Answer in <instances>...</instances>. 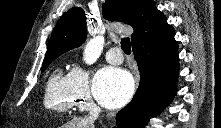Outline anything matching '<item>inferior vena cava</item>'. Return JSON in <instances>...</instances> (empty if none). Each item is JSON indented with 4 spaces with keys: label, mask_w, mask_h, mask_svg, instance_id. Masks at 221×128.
I'll return each instance as SVG.
<instances>
[{
    "label": "inferior vena cava",
    "mask_w": 221,
    "mask_h": 128,
    "mask_svg": "<svg viewBox=\"0 0 221 128\" xmlns=\"http://www.w3.org/2000/svg\"><path fill=\"white\" fill-rule=\"evenodd\" d=\"M101 109L97 106V105H92L89 109V116L88 119L90 121H94L97 119L99 113H100Z\"/></svg>",
    "instance_id": "602c4592"
}]
</instances>
